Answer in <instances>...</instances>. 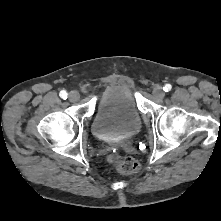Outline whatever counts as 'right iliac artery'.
Segmentation results:
<instances>
[{
	"instance_id": "right-iliac-artery-1",
	"label": "right iliac artery",
	"mask_w": 221,
	"mask_h": 221,
	"mask_svg": "<svg viewBox=\"0 0 221 221\" xmlns=\"http://www.w3.org/2000/svg\"><path fill=\"white\" fill-rule=\"evenodd\" d=\"M60 97L63 98V99H66L67 98V93L65 90H62L60 93H59Z\"/></svg>"
}]
</instances>
